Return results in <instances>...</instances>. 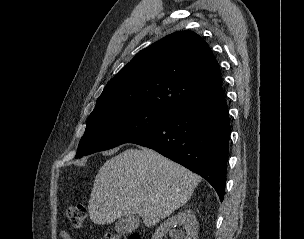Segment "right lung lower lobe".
I'll use <instances>...</instances> for the list:
<instances>
[{
  "instance_id": "obj_1",
  "label": "right lung lower lobe",
  "mask_w": 304,
  "mask_h": 239,
  "mask_svg": "<svg viewBox=\"0 0 304 239\" xmlns=\"http://www.w3.org/2000/svg\"><path fill=\"white\" fill-rule=\"evenodd\" d=\"M231 128L220 86L129 143L151 148L205 178L223 201Z\"/></svg>"
}]
</instances>
